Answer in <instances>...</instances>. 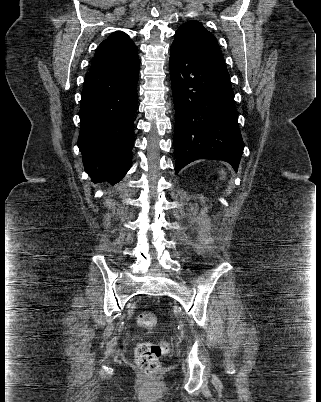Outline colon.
<instances>
[{
	"mask_svg": "<svg viewBox=\"0 0 321 402\" xmlns=\"http://www.w3.org/2000/svg\"><path fill=\"white\" fill-rule=\"evenodd\" d=\"M140 327L151 330L157 325V317L154 313L144 311L137 317ZM169 351V344L166 341L154 343L144 341L138 344L135 349V361L139 369L146 375H155L160 368V360Z\"/></svg>",
	"mask_w": 321,
	"mask_h": 402,
	"instance_id": "1",
	"label": "colon"
}]
</instances>
